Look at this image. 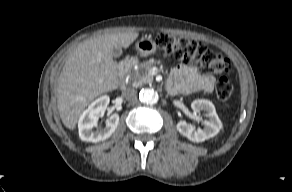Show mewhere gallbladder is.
I'll use <instances>...</instances> for the list:
<instances>
[{
    "label": "gallbladder",
    "instance_id": "gallbladder-1",
    "mask_svg": "<svg viewBox=\"0 0 292 192\" xmlns=\"http://www.w3.org/2000/svg\"><path fill=\"white\" fill-rule=\"evenodd\" d=\"M122 55V50L121 48H113L112 49V56L114 58L120 57Z\"/></svg>",
    "mask_w": 292,
    "mask_h": 192
}]
</instances>
